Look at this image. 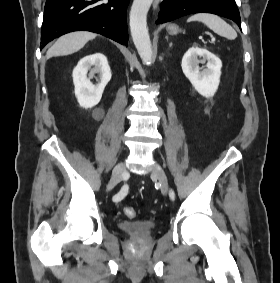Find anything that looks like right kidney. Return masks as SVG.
I'll return each mask as SVG.
<instances>
[{
  "label": "right kidney",
  "mask_w": 280,
  "mask_h": 283,
  "mask_svg": "<svg viewBox=\"0 0 280 283\" xmlns=\"http://www.w3.org/2000/svg\"><path fill=\"white\" fill-rule=\"evenodd\" d=\"M96 73L99 74L100 82L94 85L91 79ZM111 76V69L105 55L95 53L80 59L72 73L74 92L79 105L85 109L97 105Z\"/></svg>",
  "instance_id": "ca27d5eb"
}]
</instances>
